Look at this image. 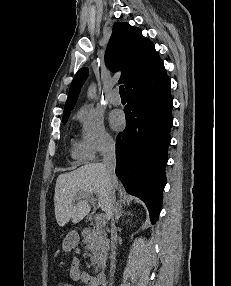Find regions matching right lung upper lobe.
I'll list each match as a JSON object with an SVG mask.
<instances>
[{"label":"right lung upper lobe","instance_id":"obj_1","mask_svg":"<svg viewBox=\"0 0 231 286\" xmlns=\"http://www.w3.org/2000/svg\"><path fill=\"white\" fill-rule=\"evenodd\" d=\"M105 62L113 72L121 71L120 82L124 83L125 87L135 80L165 69L153 43L142 36L140 29L120 22L113 26ZM87 75V68H82L76 73L70 86L64 115L70 114L73 109Z\"/></svg>","mask_w":231,"mask_h":286}]
</instances>
